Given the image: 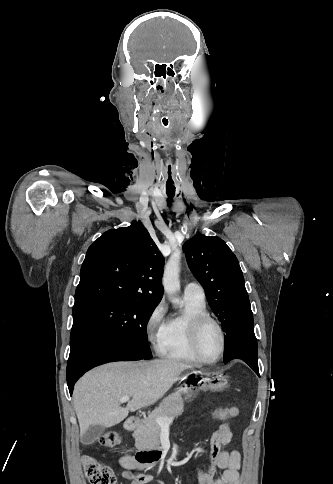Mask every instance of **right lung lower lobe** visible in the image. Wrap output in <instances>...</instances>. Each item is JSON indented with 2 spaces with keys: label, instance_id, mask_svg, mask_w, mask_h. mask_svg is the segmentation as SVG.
<instances>
[{
  "label": "right lung lower lobe",
  "instance_id": "1",
  "mask_svg": "<svg viewBox=\"0 0 333 484\" xmlns=\"http://www.w3.org/2000/svg\"><path fill=\"white\" fill-rule=\"evenodd\" d=\"M142 359L124 341L106 331L89 318H74L67 364V383L72 394L75 382L91 368L117 360Z\"/></svg>",
  "mask_w": 333,
  "mask_h": 484
}]
</instances>
